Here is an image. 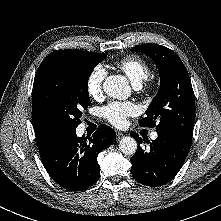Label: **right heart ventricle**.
Returning a JSON list of instances; mask_svg holds the SVG:
<instances>
[{"label": "right heart ventricle", "mask_w": 221, "mask_h": 221, "mask_svg": "<svg viewBox=\"0 0 221 221\" xmlns=\"http://www.w3.org/2000/svg\"><path fill=\"white\" fill-rule=\"evenodd\" d=\"M117 68L122 70L133 85L140 87L150 76V65L143 57L131 54L115 62Z\"/></svg>", "instance_id": "right-heart-ventricle-1"}]
</instances>
